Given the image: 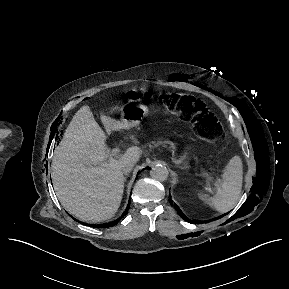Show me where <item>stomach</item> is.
Listing matches in <instances>:
<instances>
[{
	"label": "stomach",
	"mask_w": 289,
	"mask_h": 289,
	"mask_svg": "<svg viewBox=\"0 0 289 289\" xmlns=\"http://www.w3.org/2000/svg\"><path fill=\"white\" fill-rule=\"evenodd\" d=\"M146 113L147 107L143 104L124 106L121 109V122L129 129L136 126Z\"/></svg>",
	"instance_id": "obj_1"
}]
</instances>
